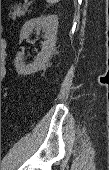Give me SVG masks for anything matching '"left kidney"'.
Listing matches in <instances>:
<instances>
[{
	"instance_id": "left-kidney-1",
	"label": "left kidney",
	"mask_w": 109,
	"mask_h": 170,
	"mask_svg": "<svg viewBox=\"0 0 109 170\" xmlns=\"http://www.w3.org/2000/svg\"><path fill=\"white\" fill-rule=\"evenodd\" d=\"M42 28L44 29L45 40L43 41L42 49L37 54L34 62L25 65L22 61V54L20 52L17 53L14 64L16 71L19 74H30L41 70L46 66L54 52L56 34L58 29L57 15L41 16L26 21L21 29L20 43L24 39H27L33 31H36L38 33L41 31Z\"/></svg>"
}]
</instances>
